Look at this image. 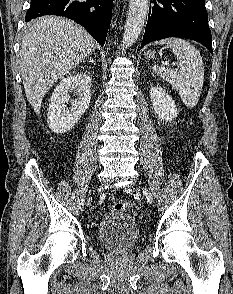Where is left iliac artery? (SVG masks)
I'll list each match as a JSON object with an SVG mask.
<instances>
[{"label":"left iliac artery","instance_id":"44dca946","mask_svg":"<svg viewBox=\"0 0 233 294\" xmlns=\"http://www.w3.org/2000/svg\"><path fill=\"white\" fill-rule=\"evenodd\" d=\"M144 194L146 196V199L148 201V203H152L153 202V198H152V194L150 193V191H148L147 189L144 190Z\"/></svg>","mask_w":233,"mask_h":294}]
</instances>
